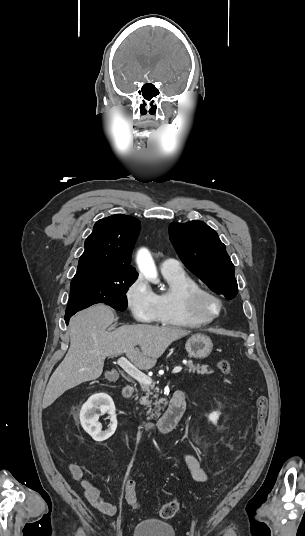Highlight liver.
<instances>
[{
	"mask_svg": "<svg viewBox=\"0 0 305 536\" xmlns=\"http://www.w3.org/2000/svg\"><path fill=\"white\" fill-rule=\"evenodd\" d=\"M115 316L104 304H95L71 318L70 348L52 374L43 398V408L51 406L66 390L100 378L107 356L126 354L139 370L154 368L168 346L190 332L175 326H121L106 332ZM139 346V348H136Z\"/></svg>",
	"mask_w": 305,
	"mask_h": 536,
	"instance_id": "1",
	"label": "liver"
}]
</instances>
